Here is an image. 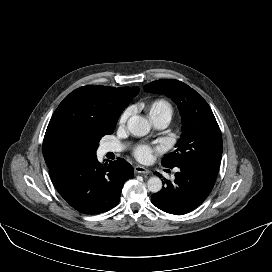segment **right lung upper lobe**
I'll list each match as a JSON object with an SVG mask.
<instances>
[{
    "mask_svg": "<svg viewBox=\"0 0 272 272\" xmlns=\"http://www.w3.org/2000/svg\"><path fill=\"white\" fill-rule=\"evenodd\" d=\"M138 87L84 86L71 92L55 110L43 140L49 168L87 156L95 142L112 134Z\"/></svg>",
    "mask_w": 272,
    "mask_h": 272,
    "instance_id": "obj_1",
    "label": "right lung upper lobe"
}]
</instances>
